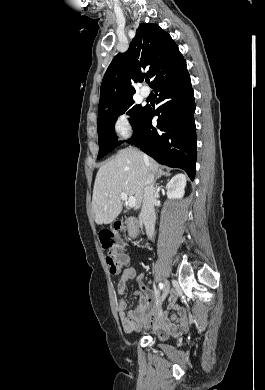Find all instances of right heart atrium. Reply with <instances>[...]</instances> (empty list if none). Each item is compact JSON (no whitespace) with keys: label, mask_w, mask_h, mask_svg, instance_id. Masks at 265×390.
<instances>
[{"label":"right heart atrium","mask_w":265,"mask_h":390,"mask_svg":"<svg viewBox=\"0 0 265 390\" xmlns=\"http://www.w3.org/2000/svg\"><path fill=\"white\" fill-rule=\"evenodd\" d=\"M114 134L121 139L128 138L133 131L132 118L127 113L117 115L112 126Z\"/></svg>","instance_id":"right-heart-atrium-1"}]
</instances>
